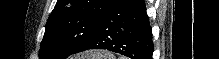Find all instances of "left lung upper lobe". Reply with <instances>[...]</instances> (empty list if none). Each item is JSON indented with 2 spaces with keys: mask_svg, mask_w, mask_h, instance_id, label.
<instances>
[{
  "mask_svg": "<svg viewBox=\"0 0 219 59\" xmlns=\"http://www.w3.org/2000/svg\"><path fill=\"white\" fill-rule=\"evenodd\" d=\"M113 0H58L46 23L39 59H65L92 37Z\"/></svg>",
  "mask_w": 219,
  "mask_h": 59,
  "instance_id": "left-lung-upper-lobe-1",
  "label": "left lung upper lobe"
}]
</instances>
